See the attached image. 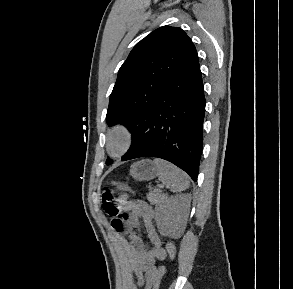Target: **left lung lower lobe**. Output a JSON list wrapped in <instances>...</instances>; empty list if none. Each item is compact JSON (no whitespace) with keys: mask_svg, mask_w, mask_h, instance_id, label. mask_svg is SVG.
Returning <instances> with one entry per match:
<instances>
[{"mask_svg":"<svg viewBox=\"0 0 293 289\" xmlns=\"http://www.w3.org/2000/svg\"><path fill=\"white\" fill-rule=\"evenodd\" d=\"M205 97L199 61L178 77L134 123L123 161L165 159L197 181L203 145Z\"/></svg>","mask_w":293,"mask_h":289,"instance_id":"1","label":"left lung lower lobe"}]
</instances>
